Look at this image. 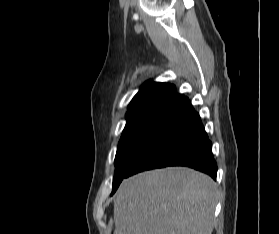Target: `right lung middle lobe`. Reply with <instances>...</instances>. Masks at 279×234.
Here are the masks:
<instances>
[{
  "label": "right lung middle lobe",
  "instance_id": "dd1d6c3e",
  "mask_svg": "<svg viewBox=\"0 0 279 234\" xmlns=\"http://www.w3.org/2000/svg\"><path fill=\"white\" fill-rule=\"evenodd\" d=\"M171 109L170 107H160L126 114L127 123L122 132L115 157V174L111 195L114 194L125 177L138 150Z\"/></svg>",
  "mask_w": 279,
  "mask_h": 234
}]
</instances>
